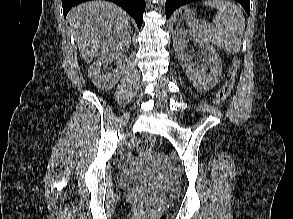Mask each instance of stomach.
I'll list each match as a JSON object with an SVG mask.
<instances>
[{"mask_svg":"<svg viewBox=\"0 0 293 219\" xmlns=\"http://www.w3.org/2000/svg\"><path fill=\"white\" fill-rule=\"evenodd\" d=\"M192 14H193V10L185 9V11H184L182 16L187 18V17H190Z\"/></svg>","mask_w":293,"mask_h":219,"instance_id":"0dacf381","label":"stomach"}]
</instances>
